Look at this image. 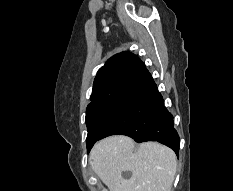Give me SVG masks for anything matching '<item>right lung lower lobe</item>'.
Segmentation results:
<instances>
[{
  "label": "right lung lower lobe",
  "mask_w": 233,
  "mask_h": 191,
  "mask_svg": "<svg viewBox=\"0 0 233 191\" xmlns=\"http://www.w3.org/2000/svg\"><path fill=\"white\" fill-rule=\"evenodd\" d=\"M126 105L107 125L97 140L123 134L136 142L157 141L179 153V136L173 116L164 107L157 86L147 69L127 90Z\"/></svg>",
  "instance_id": "right-lung-lower-lobe-1"
}]
</instances>
